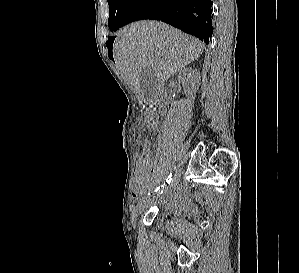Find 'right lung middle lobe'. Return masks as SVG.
<instances>
[{"label":"right lung middle lobe","mask_w":299,"mask_h":273,"mask_svg":"<svg viewBox=\"0 0 299 273\" xmlns=\"http://www.w3.org/2000/svg\"><path fill=\"white\" fill-rule=\"evenodd\" d=\"M134 0H108L110 15L108 25L111 31H116Z\"/></svg>","instance_id":"1"}]
</instances>
